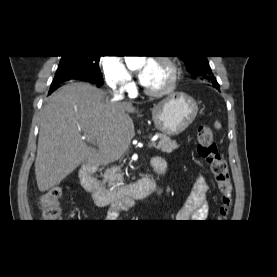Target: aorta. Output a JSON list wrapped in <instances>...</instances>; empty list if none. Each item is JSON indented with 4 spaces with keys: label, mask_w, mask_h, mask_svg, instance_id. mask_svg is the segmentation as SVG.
Instances as JSON below:
<instances>
[{
    "label": "aorta",
    "mask_w": 277,
    "mask_h": 277,
    "mask_svg": "<svg viewBox=\"0 0 277 277\" xmlns=\"http://www.w3.org/2000/svg\"><path fill=\"white\" fill-rule=\"evenodd\" d=\"M125 61L129 67L139 65L141 56H125Z\"/></svg>",
    "instance_id": "obj_1"
}]
</instances>
